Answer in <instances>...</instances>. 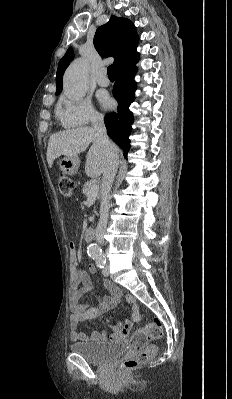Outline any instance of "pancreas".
Wrapping results in <instances>:
<instances>
[{"label":"pancreas","instance_id":"pancreas-1","mask_svg":"<svg viewBox=\"0 0 232 399\" xmlns=\"http://www.w3.org/2000/svg\"><path fill=\"white\" fill-rule=\"evenodd\" d=\"M94 184H92V180H90V182H85L84 184V188H83V194H85V196H89V192L91 190V188H93ZM95 200H98V196H96Z\"/></svg>","mask_w":232,"mask_h":399}]
</instances>
